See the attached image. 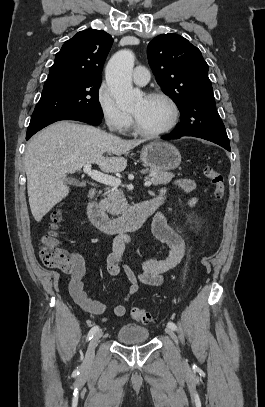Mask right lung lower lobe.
<instances>
[{"label": "right lung lower lobe", "mask_w": 265, "mask_h": 407, "mask_svg": "<svg viewBox=\"0 0 265 407\" xmlns=\"http://www.w3.org/2000/svg\"><path fill=\"white\" fill-rule=\"evenodd\" d=\"M64 120H77L82 121L91 125H99L101 123V118L90 116V115H76L68 117ZM35 134V133H34ZM33 134H27L26 139L28 140Z\"/></svg>", "instance_id": "1"}]
</instances>
